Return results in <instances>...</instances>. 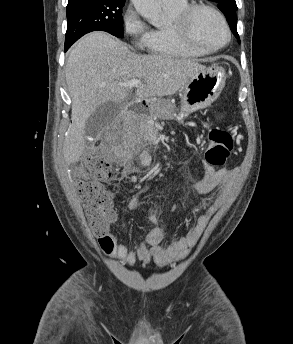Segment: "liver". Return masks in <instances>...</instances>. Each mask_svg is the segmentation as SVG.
<instances>
[{"label":"liver","mask_w":293,"mask_h":344,"mask_svg":"<svg viewBox=\"0 0 293 344\" xmlns=\"http://www.w3.org/2000/svg\"><path fill=\"white\" fill-rule=\"evenodd\" d=\"M205 66L191 59L164 55H138L104 32L81 38L67 59L65 74L72 99L71 121L63 144L67 165L84 153L85 126L88 118L103 103L124 102L130 93L123 83L131 79L138 101L171 96Z\"/></svg>","instance_id":"6515ba94"}]
</instances>
